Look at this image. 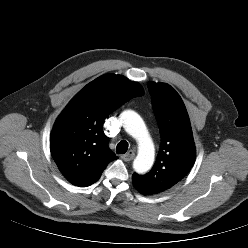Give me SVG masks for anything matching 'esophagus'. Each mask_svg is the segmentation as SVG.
<instances>
[{
    "mask_svg": "<svg viewBox=\"0 0 248 248\" xmlns=\"http://www.w3.org/2000/svg\"><path fill=\"white\" fill-rule=\"evenodd\" d=\"M135 157V152L130 150L129 152H127L126 154L122 155L121 158L124 160V161H131L133 160Z\"/></svg>",
    "mask_w": 248,
    "mask_h": 248,
    "instance_id": "34e87169",
    "label": "esophagus"
}]
</instances>
